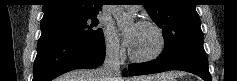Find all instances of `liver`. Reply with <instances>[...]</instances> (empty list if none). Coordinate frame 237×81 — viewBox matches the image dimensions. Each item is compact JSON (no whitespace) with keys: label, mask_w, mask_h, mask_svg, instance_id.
<instances>
[{"label":"liver","mask_w":237,"mask_h":81,"mask_svg":"<svg viewBox=\"0 0 237 81\" xmlns=\"http://www.w3.org/2000/svg\"><path fill=\"white\" fill-rule=\"evenodd\" d=\"M101 68L78 69L70 71L58 78V81H102ZM154 77H133L131 81H152ZM116 81H123L121 77Z\"/></svg>","instance_id":"6515ba94"}]
</instances>
